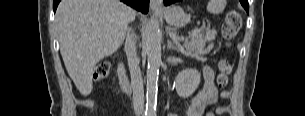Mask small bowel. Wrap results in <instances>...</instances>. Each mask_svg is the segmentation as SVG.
Segmentation results:
<instances>
[{
  "mask_svg": "<svg viewBox=\"0 0 305 116\" xmlns=\"http://www.w3.org/2000/svg\"><path fill=\"white\" fill-rule=\"evenodd\" d=\"M220 97L223 99L228 98L229 92H222ZM218 98L219 92L214 82V72L211 67L205 66L203 67V84L187 105L185 116H214L211 108ZM225 112V107H218L215 110L216 115H222ZM169 116L175 115L169 114Z\"/></svg>",
  "mask_w": 305,
  "mask_h": 116,
  "instance_id": "obj_1",
  "label": "small bowel"
}]
</instances>
